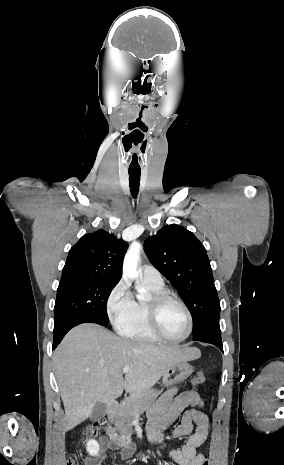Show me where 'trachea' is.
Segmentation results:
<instances>
[{
    "mask_svg": "<svg viewBox=\"0 0 284 465\" xmlns=\"http://www.w3.org/2000/svg\"><path fill=\"white\" fill-rule=\"evenodd\" d=\"M128 173H129L130 191H131L133 198H136L139 192L141 170L140 169L128 170Z\"/></svg>",
    "mask_w": 284,
    "mask_h": 465,
    "instance_id": "trachea-1",
    "label": "trachea"
}]
</instances>
